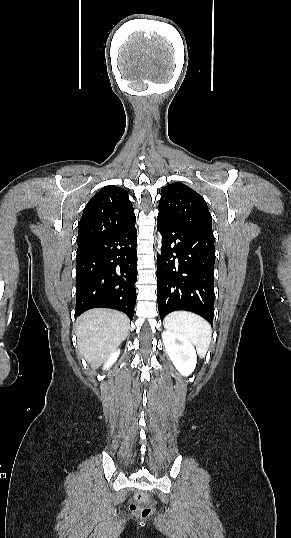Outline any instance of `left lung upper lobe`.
I'll list each match as a JSON object with an SVG mask.
<instances>
[{
  "instance_id": "left-lung-upper-lobe-1",
  "label": "left lung upper lobe",
  "mask_w": 291,
  "mask_h": 538,
  "mask_svg": "<svg viewBox=\"0 0 291 538\" xmlns=\"http://www.w3.org/2000/svg\"><path fill=\"white\" fill-rule=\"evenodd\" d=\"M158 215L186 228L213 233L212 217L205 200L182 183H173L161 190Z\"/></svg>"
}]
</instances>
